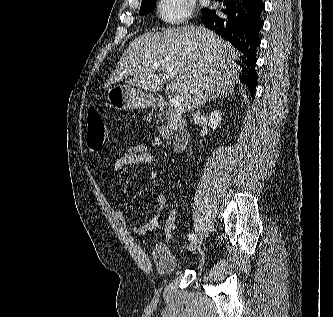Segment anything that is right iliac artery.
<instances>
[{
    "label": "right iliac artery",
    "mask_w": 333,
    "mask_h": 317,
    "mask_svg": "<svg viewBox=\"0 0 333 317\" xmlns=\"http://www.w3.org/2000/svg\"><path fill=\"white\" fill-rule=\"evenodd\" d=\"M188 239L193 241V240H196L197 239V236L195 234H189L188 235Z\"/></svg>",
    "instance_id": "82829eb1"
}]
</instances>
